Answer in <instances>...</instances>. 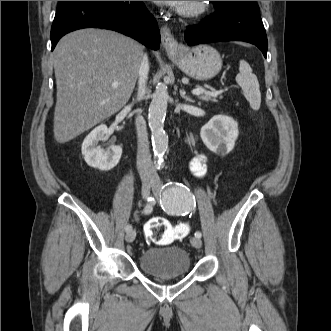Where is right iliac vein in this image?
<instances>
[{
    "label": "right iliac vein",
    "instance_id": "1",
    "mask_svg": "<svg viewBox=\"0 0 331 331\" xmlns=\"http://www.w3.org/2000/svg\"><path fill=\"white\" fill-rule=\"evenodd\" d=\"M152 185H153V182L151 180H148V179L143 180L142 189H141V194H142L143 198L146 199L149 196ZM135 237H136V232H135V230L131 229L129 232H127V234L125 236V240L130 243L135 240Z\"/></svg>",
    "mask_w": 331,
    "mask_h": 331
}]
</instances>
